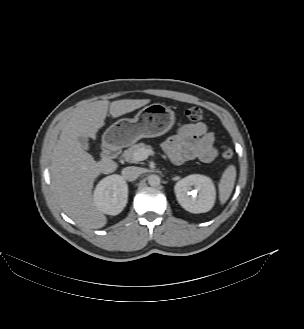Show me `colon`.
I'll list each match as a JSON object with an SVG mask.
<instances>
[{"instance_id":"colon-1","label":"colon","mask_w":304,"mask_h":329,"mask_svg":"<svg viewBox=\"0 0 304 329\" xmlns=\"http://www.w3.org/2000/svg\"><path fill=\"white\" fill-rule=\"evenodd\" d=\"M189 120L198 122L203 119V111L199 107H190L186 111ZM221 155L224 160H230L233 157V150L226 144H221Z\"/></svg>"}]
</instances>
